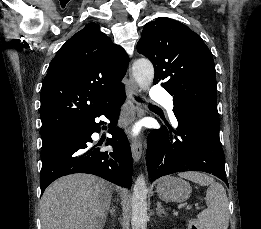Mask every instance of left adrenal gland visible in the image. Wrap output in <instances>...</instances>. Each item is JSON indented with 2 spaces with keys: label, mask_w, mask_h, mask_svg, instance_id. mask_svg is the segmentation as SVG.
Instances as JSON below:
<instances>
[{
  "label": "left adrenal gland",
  "mask_w": 261,
  "mask_h": 229,
  "mask_svg": "<svg viewBox=\"0 0 261 229\" xmlns=\"http://www.w3.org/2000/svg\"><path fill=\"white\" fill-rule=\"evenodd\" d=\"M156 213H157L158 217H161V215H165V217H166V213H165L160 201H158V203H157Z\"/></svg>",
  "instance_id": "obj_1"
}]
</instances>
